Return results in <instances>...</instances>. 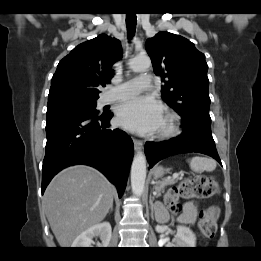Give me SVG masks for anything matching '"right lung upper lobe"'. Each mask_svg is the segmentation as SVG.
I'll return each instance as SVG.
<instances>
[{"instance_id":"cb5924a9","label":"right lung upper lobe","mask_w":261,"mask_h":261,"mask_svg":"<svg viewBox=\"0 0 261 261\" xmlns=\"http://www.w3.org/2000/svg\"><path fill=\"white\" fill-rule=\"evenodd\" d=\"M121 56L120 41L106 34L79 44L59 62L48 99L66 94L98 99L97 87L110 82Z\"/></svg>"}]
</instances>
